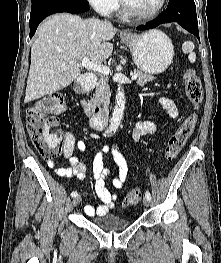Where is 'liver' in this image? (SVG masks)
Instances as JSON below:
<instances>
[{"label": "liver", "instance_id": "liver-1", "mask_svg": "<svg viewBox=\"0 0 221 263\" xmlns=\"http://www.w3.org/2000/svg\"><path fill=\"white\" fill-rule=\"evenodd\" d=\"M117 29L112 24L77 15H52L42 23L31 48V65L25 103L55 93L70 85L80 74L78 61L84 57L102 63L110 57V40Z\"/></svg>", "mask_w": 221, "mask_h": 263}]
</instances>
